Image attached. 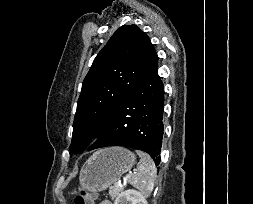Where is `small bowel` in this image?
Listing matches in <instances>:
<instances>
[{
	"label": "small bowel",
	"instance_id": "c3829d8e",
	"mask_svg": "<svg viewBox=\"0 0 253 204\" xmlns=\"http://www.w3.org/2000/svg\"><path fill=\"white\" fill-rule=\"evenodd\" d=\"M99 204H112V203L108 200H104V201L100 202Z\"/></svg>",
	"mask_w": 253,
	"mask_h": 204
}]
</instances>
